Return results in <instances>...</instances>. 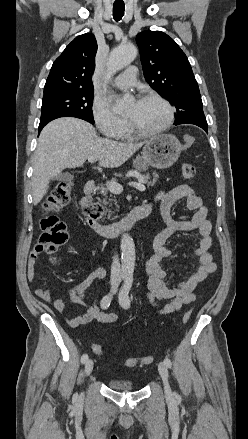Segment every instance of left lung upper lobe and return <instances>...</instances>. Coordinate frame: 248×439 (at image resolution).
Listing matches in <instances>:
<instances>
[{
    "label": "left lung upper lobe",
    "mask_w": 248,
    "mask_h": 439,
    "mask_svg": "<svg viewBox=\"0 0 248 439\" xmlns=\"http://www.w3.org/2000/svg\"><path fill=\"white\" fill-rule=\"evenodd\" d=\"M144 77L177 110L175 124L207 123L198 83L185 53L161 31L146 30L136 36Z\"/></svg>",
    "instance_id": "1"
}]
</instances>
